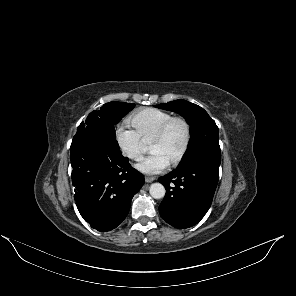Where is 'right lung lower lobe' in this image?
I'll list each match as a JSON object with an SVG mask.
<instances>
[{"instance_id": "98d812e1", "label": "right lung lower lobe", "mask_w": 296, "mask_h": 296, "mask_svg": "<svg viewBox=\"0 0 296 296\" xmlns=\"http://www.w3.org/2000/svg\"><path fill=\"white\" fill-rule=\"evenodd\" d=\"M76 206L98 231L116 228L126 218L144 177L132 168L117 142L87 130L77 132L70 147Z\"/></svg>"}]
</instances>
